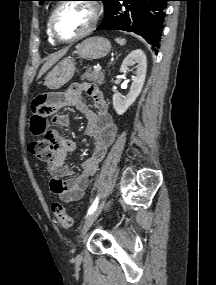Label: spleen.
Listing matches in <instances>:
<instances>
[{"mask_svg":"<svg viewBox=\"0 0 216 285\" xmlns=\"http://www.w3.org/2000/svg\"><path fill=\"white\" fill-rule=\"evenodd\" d=\"M116 42L119 43L120 45H125L126 40L122 38H116Z\"/></svg>","mask_w":216,"mask_h":285,"instance_id":"3e777b00","label":"spleen"}]
</instances>
